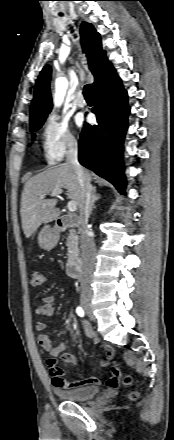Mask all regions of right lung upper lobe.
I'll list each match as a JSON object with an SVG mask.
<instances>
[{"instance_id":"obj_1","label":"right lung upper lobe","mask_w":174,"mask_h":440,"mask_svg":"<svg viewBox=\"0 0 174 440\" xmlns=\"http://www.w3.org/2000/svg\"><path fill=\"white\" fill-rule=\"evenodd\" d=\"M80 35L90 71L95 77L93 83L95 88L102 81L112 65L107 60L106 53L102 49L100 35L92 24L82 22ZM50 78L51 67L46 65L36 81L34 98L30 108V125L45 120L52 109Z\"/></svg>"}]
</instances>
